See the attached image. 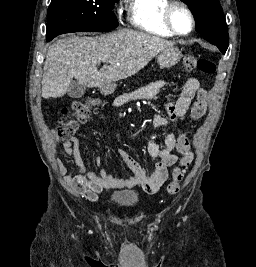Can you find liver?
Wrapping results in <instances>:
<instances>
[{
	"label": "liver",
	"mask_w": 256,
	"mask_h": 267,
	"mask_svg": "<svg viewBox=\"0 0 256 267\" xmlns=\"http://www.w3.org/2000/svg\"><path fill=\"white\" fill-rule=\"evenodd\" d=\"M165 46H174V42L135 30L58 40L46 54L41 96L61 98L73 78L88 88L129 78L145 68ZM99 60L104 62L101 70L96 68Z\"/></svg>",
	"instance_id": "6515ba94"
}]
</instances>
